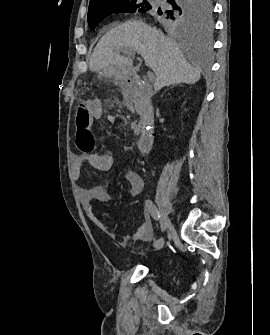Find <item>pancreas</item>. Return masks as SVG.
<instances>
[{"mask_svg":"<svg viewBox=\"0 0 270 335\" xmlns=\"http://www.w3.org/2000/svg\"><path fill=\"white\" fill-rule=\"evenodd\" d=\"M135 134H139V132H135Z\"/></svg>","mask_w":270,"mask_h":335,"instance_id":"1","label":"pancreas"}]
</instances>
